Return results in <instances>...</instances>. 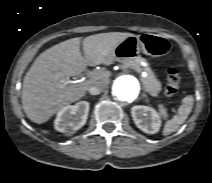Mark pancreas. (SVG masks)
I'll return each instance as SVG.
<instances>
[{
	"mask_svg": "<svg viewBox=\"0 0 212 183\" xmlns=\"http://www.w3.org/2000/svg\"><path fill=\"white\" fill-rule=\"evenodd\" d=\"M144 61V58L137 56L131 60L124 62L123 66L126 68L135 69L138 72L142 71L141 63ZM147 72L146 77H141V82L146 92H148L151 96L156 97L161 90V83L155 77L154 73L151 71L149 67L145 68Z\"/></svg>",
	"mask_w": 212,
	"mask_h": 183,
	"instance_id": "pancreas-1",
	"label": "pancreas"
}]
</instances>
